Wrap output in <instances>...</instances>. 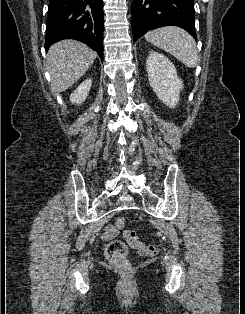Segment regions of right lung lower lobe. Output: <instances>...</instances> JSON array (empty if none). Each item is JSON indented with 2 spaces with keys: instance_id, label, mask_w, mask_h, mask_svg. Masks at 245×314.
<instances>
[{
  "instance_id": "obj_1",
  "label": "right lung lower lobe",
  "mask_w": 245,
  "mask_h": 314,
  "mask_svg": "<svg viewBox=\"0 0 245 314\" xmlns=\"http://www.w3.org/2000/svg\"><path fill=\"white\" fill-rule=\"evenodd\" d=\"M63 39L81 41L103 59V1L50 0L45 49Z\"/></svg>"
}]
</instances>
